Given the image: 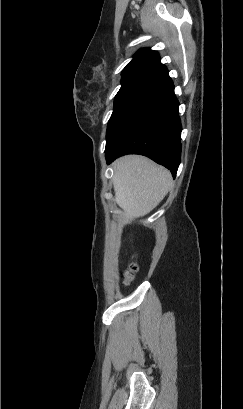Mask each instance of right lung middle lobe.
Here are the masks:
<instances>
[{
    "mask_svg": "<svg viewBox=\"0 0 243 409\" xmlns=\"http://www.w3.org/2000/svg\"><path fill=\"white\" fill-rule=\"evenodd\" d=\"M161 83V80L152 78H135L121 81L122 86L115 96L114 110L108 122L106 147L130 114Z\"/></svg>",
    "mask_w": 243,
    "mask_h": 409,
    "instance_id": "obj_1",
    "label": "right lung middle lobe"
}]
</instances>
